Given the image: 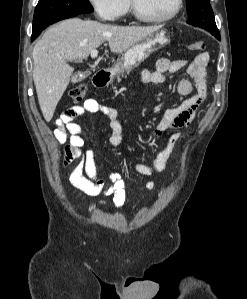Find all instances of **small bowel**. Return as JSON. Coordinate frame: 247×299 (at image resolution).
Instances as JSON below:
<instances>
[{
  "mask_svg": "<svg viewBox=\"0 0 247 299\" xmlns=\"http://www.w3.org/2000/svg\"><path fill=\"white\" fill-rule=\"evenodd\" d=\"M209 62L207 52L199 53L187 66L185 60L161 59L157 62L156 68L144 70L141 80L145 84H160L165 81L167 73H175L187 66L188 75L194 82L182 79L178 82L177 90L181 95L189 96L178 106L167 109L155 127V135L160 137L168 129H181L187 127L195 117L196 111L206 99V71ZM85 112L102 113L111 123L109 142L115 147L122 146L123 125L118 118L115 108L101 104L93 98L86 99L81 105L67 108L55 122L53 135L60 144L68 143L62 154V164L67 166L72 161L78 159L70 173L71 183L88 196H98L100 194L112 195L115 208H121L127 199V193L121 176L112 172L108 180L100 177L93 151L84 150V139L81 135L82 128L75 119ZM180 136L173 133L166 146L156 155L154 159L146 163H136L134 170L142 176H150L155 171H163L166 168L167 160L174 152ZM147 188H154L153 182L147 183ZM105 207L104 203L100 204Z\"/></svg>",
  "mask_w": 247,
  "mask_h": 299,
  "instance_id": "small-bowel-1",
  "label": "small bowel"
}]
</instances>
